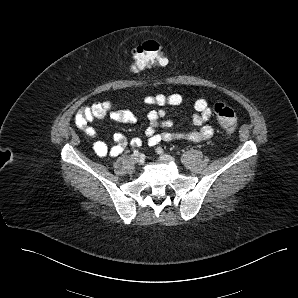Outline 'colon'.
I'll return each mask as SVG.
<instances>
[{
    "label": "colon",
    "mask_w": 298,
    "mask_h": 298,
    "mask_svg": "<svg viewBox=\"0 0 298 298\" xmlns=\"http://www.w3.org/2000/svg\"><path fill=\"white\" fill-rule=\"evenodd\" d=\"M166 64L164 51L156 41H146L132 51V69L135 72L143 71L151 66H165ZM213 111L221 127L228 134L234 133L238 125L235 111L222 102L215 103Z\"/></svg>",
    "instance_id": "colon-1"
}]
</instances>
